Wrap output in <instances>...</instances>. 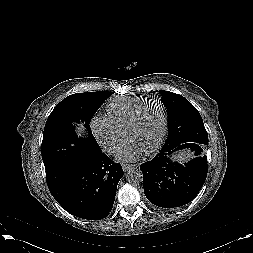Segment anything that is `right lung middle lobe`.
I'll list each match as a JSON object with an SVG mask.
<instances>
[{
    "label": "right lung middle lobe",
    "instance_id": "1",
    "mask_svg": "<svg viewBox=\"0 0 253 253\" xmlns=\"http://www.w3.org/2000/svg\"><path fill=\"white\" fill-rule=\"evenodd\" d=\"M113 92H87L72 94L53 109L45 124L42 140V159L45 170L69 164L100 149L91 133L90 121ZM87 132V137L77 136V124Z\"/></svg>",
    "mask_w": 253,
    "mask_h": 253
}]
</instances>
